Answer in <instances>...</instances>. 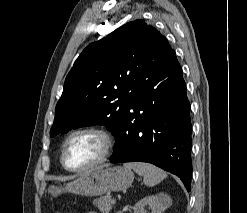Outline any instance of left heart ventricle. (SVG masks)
<instances>
[{"instance_id":"b2bd125f","label":"left heart ventricle","mask_w":247,"mask_h":213,"mask_svg":"<svg viewBox=\"0 0 247 213\" xmlns=\"http://www.w3.org/2000/svg\"><path fill=\"white\" fill-rule=\"evenodd\" d=\"M102 150L103 142L99 136L91 133L78 134L68 142L65 160L72 168L84 167L97 160Z\"/></svg>"}]
</instances>
